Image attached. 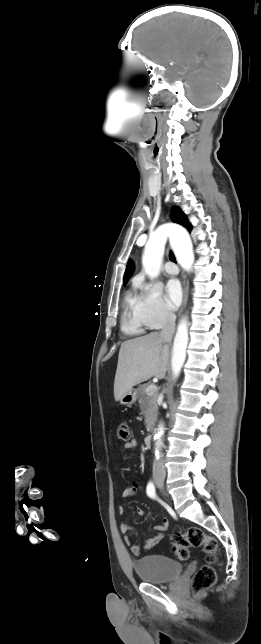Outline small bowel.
Segmentation results:
<instances>
[{
	"label": "small bowel",
	"mask_w": 261,
	"mask_h": 644,
	"mask_svg": "<svg viewBox=\"0 0 261 644\" xmlns=\"http://www.w3.org/2000/svg\"><path fill=\"white\" fill-rule=\"evenodd\" d=\"M137 447V441L136 440H131L123 445L121 448V452L132 450ZM140 488V485L138 483H133L131 486L126 487L123 492H122V497L123 498H130L132 497L137 490ZM120 511L123 512L124 508L120 507ZM136 514L138 516H143L144 515V510L140 507L136 508ZM168 527V520L166 518H163L161 522L154 527V530L158 532V534L152 538H148L144 541V544L142 547H140L137 544H132L131 543V538L129 536V533L133 530V527L129 524L122 523L120 525V530L121 532L125 535L124 540L126 544L130 546V550L134 555H140L143 550H151L155 546H157L161 540L163 539V532L167 529Z\"/></svg>",
	"instance_id": "small-bowel-1"
}]
</instances>
